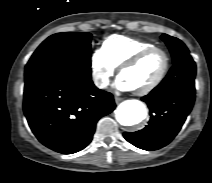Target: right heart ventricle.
Segmentation results:
<instances>
[{
  "instance_id": "obj_1",
  "label": "right heart ventricle",
  "mask_w": 212,
  "mask_h": 183,
  "mask_svg": "<svg viewBox=\"0 0 212 183\" xmlns=\"http://www.w3.org/2000/svg\"><path fill=\"white\" fill-rule=\"evenodd\" d=\"M153 46L156 45L149 41L114 35L104 41L102 48L115 67H119L140 51Z\"/></svg>"
}]
</instances>
